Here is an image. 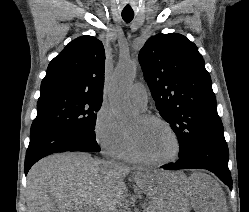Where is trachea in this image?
<instances>
[{
  "mask_svg": "<svg viewBox=\"0 0 249 212\" xmlns=\"http://www.w3.org/2000/svg\"><path fill=\"white\" fill-rule=\"evenodd\" d=\"M122 18L126 23H129L134 18V13H122Z\"/></svg>",
  "mask_w": 249,
  "mask_h": 212,
  "instance_id": "trachea-1",
  "label": "trachea"
}]
</instances>
